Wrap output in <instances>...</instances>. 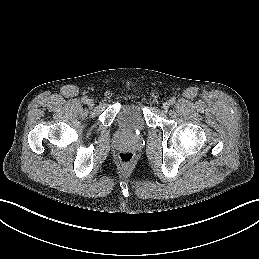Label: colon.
I'll return each instance as SVG.
<instances>
[{
    "label": "colon",
    "mask_w": 259,
    "mask_h": 259,
    "mask_svg": "<svg viewBox=\"0 0 259 259\" xmlns=\"http://www.w3.org/2000/svg\"><path fill=\"white\" fill-rule=\"evenodd\" d=\"M135 156L130 151H122L118 154V160L120 164L124 167H129L133 164Z\"/></svg>",
    "instance_id": "1"
}]
</instances>
